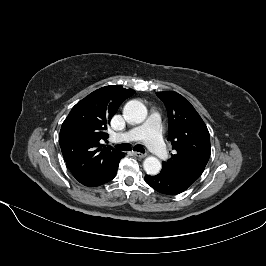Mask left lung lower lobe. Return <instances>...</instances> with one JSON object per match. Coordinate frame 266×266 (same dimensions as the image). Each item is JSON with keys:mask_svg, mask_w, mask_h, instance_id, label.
Instances as JSON below:
<instances>
[{"mask_svg": "<svg viewBox=\"0 0 266 266\" xmlns=\"http://www.w3.org/2000/svg\"><path fill=\"white\" fill-rule=\"evenodd\" d=\"M145 182L154 190L166 195H177L184 192L188 188L168 177L163 172H160L155 176L146 175Z\"/></svg>", "mask_w": 266, "mask_h": 266, "instance_id": "1", "label": "left lung lower lobe"}]
</instances>
